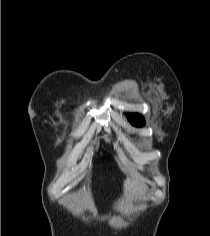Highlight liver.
<instances>
[{"label": "liver", "mask_w": 210, "mask_h": 236, "mask_svg": "<svg viewBox=\"0 0 210 236\" xmlns=\"http://www.w3.org/2000/svg\"><path fill=\"white\" fill-rule=\"evenodd\" d=\"M126 191L135 197H140L144 194L147 189L146 185L138 180H127L125 183Z\"/></svg>", "instance_id": "6515ba94"}]
</instances>
